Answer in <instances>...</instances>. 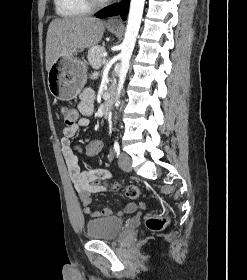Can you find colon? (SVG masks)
Returning a JSON list of instances; mask_svg holds the SVG:
<instances>
[{
	"label": "colon",
	"mask_w": 247,
	"mask_h": 280,
	"mask_svg": "<svg viewBox=\"0 0 247 280\" xmlns=\"http://www.w3.org/2000/svg\"><path fill=\"white\" fill-rule=\"evenodd\" d=\"M60 116L67 126L73 125L78 120L77 111L71 107L64 105L60 108ZM104 139L102 136H95L93 141L87 143L84 147V153L87 156H95L100 153L103 147ZM95 186H108L110 189L118 190L123 188L127 197L136 199L141 195V190L138 186L130 184L122 187L117 183H110L108 181H95ZM167 222L165 214L150 213L146 218V227L152 231H159L164 228Z\"/></svg>",
	"instance_id": "5ec220e1"
}]
</instances>
